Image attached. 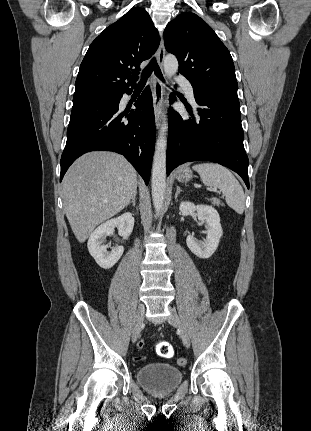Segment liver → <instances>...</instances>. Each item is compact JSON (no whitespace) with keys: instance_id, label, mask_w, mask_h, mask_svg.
Listing matches in <instances>:
<instances>
[{"instance_id":"liver-1","label":"liver","mask_w":311,"mask_h":431,"mask_svg":"<svg viewBox=\"0 0 311 431\" xmlns=\"http://www.w3.org/2000/svg\"><path fill=\"white\" fill-rule=\"evenodd\" d=\"M137 194V172L124 156L89 152L70 166L62 182L64 212L78 241L116 216Z\"/></svg>"}]
</instances>
